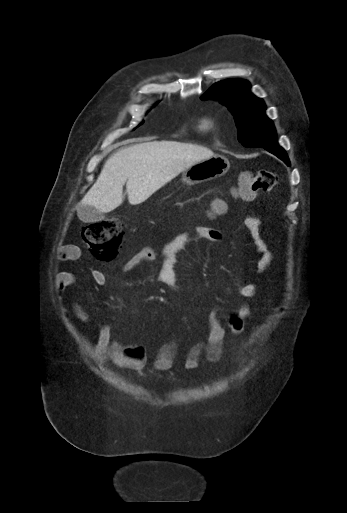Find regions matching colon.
<instances>
[{
  "label": "colon",
  "mask_w": 347,
  "mask_h": 513,
  "mask_svg": "<svg viewBox=\"0 0 347 513\" xmlns=\"http://www.w3.org/2000/svg\"><path fill=\"white\" fill-rule=\"evenodd\" d=\"M275 184L276 174L272 171H245L240 174L234 193L240 199L249 201L259 192L271 190ZM226 210L225 201L217 198L211 202L209 213L212 217H218L225 214ZM82 236L98 259L109 261L123 244V223L116 217L89 223L83 227Z\"/></svg>",
  "instance_id": "obj_1"
}]
</instances>
